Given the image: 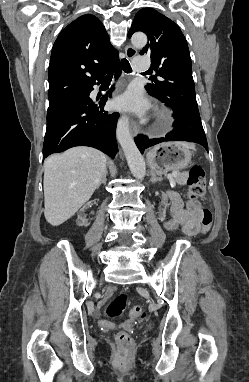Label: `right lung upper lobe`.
<instances>
[{
	"label": "right lung upper lobe",
	"instance_id": "cb5924a9",
	"mask_svg": "<svg viewBox=\"0 0 249 382\" xmlns=\"http://www.w3.org/2000/svg\"><path fill=\"white\" fill-rule=\"evenodd\" d=\"M115 53L97 17L86 14L70 23L60 32L52 48L48 71L49 103L87 89L118 60Z\"/></svg>",
	"mask_w": 249,
	"mask_h": 382
}]
</instances>
